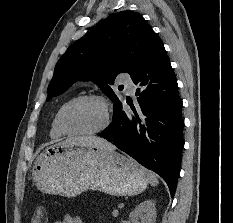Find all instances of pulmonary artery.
<instances>
[{"label": "pulmonary artery", "instance_id": "obj_1", "mask_svg": "<svg viewBox=\"0 0 233 223\" xmlns=\"http://www.w3.org/2000/svg\"><path fill=\"white\" fill-rule=\"evenodd\" d=\"M131 78V74H117V79H121L120 82L124 84L128 92L133 95L136 87Z\"/></svg>", "mask_w": 233, "mask_h": 223}]
</instances>
